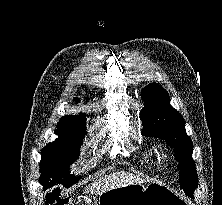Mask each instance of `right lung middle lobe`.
Wrapping results in <instances>:
<instances>
[{
	"mask_svg": "<svg viewBox=\"0 0 222 205\" xmlns=\"http://www.w3.org/2000/svg\"><path fill=\"white\" fill-rule=\"evenodd\" d=\"M57 128L55 133L59 138L49 143L41 152L39 182L43 186L62 183L68 187L79 180L70 174L69 166L78 158L86 125L58 124Z\"/></svg>",
	"mask_w": 222,
	"mask_h": 205,
	"instance_id": "obj_1",
	"label": "right lung middle lobe"
}]
</instances>
